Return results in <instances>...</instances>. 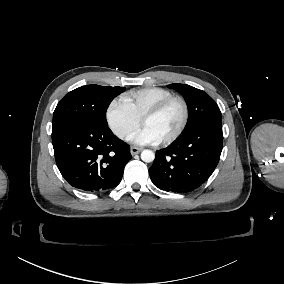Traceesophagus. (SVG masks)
<instances>
[{
    "label": "esophagus",
    "mask_w": 284,
    "mask_h": 284,
    "mask_svg": "<svg viewBox=\"0 0 284 284\" xmlns=\"http://www.w3.org/2000/svg\"><path fill=\"white\" fill-rule=\"evenodd\" d=\"M143 149L140 147H131L130 152L132 154V156L140 153Z\"/></svg>",
    "instance_id": "34e87169"
}]
</instances>
